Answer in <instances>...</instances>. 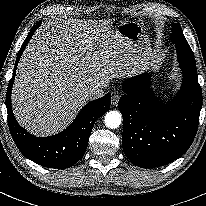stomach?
I'll list each match as a JSON object with an SVG mask.
<instances>
[{"label":"stomach","instance_id":"obj_1","mask_svg":"<svg viewBox=\"0 0 206 206\" xmlns=\"http://www.w3.org/2000/svg\"><path fill=\"white\" fill-rule=\"evenodd\" d=\"M116 32L131 43L137 61L143 69L147 68L153 51L144 27L135 21H125L117 26Z\"/></svg>","mask_w":206,"mask_h":206}]
</instances>
